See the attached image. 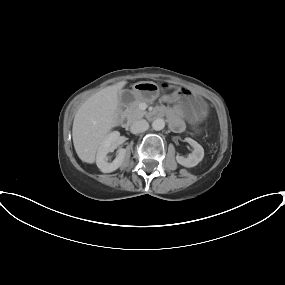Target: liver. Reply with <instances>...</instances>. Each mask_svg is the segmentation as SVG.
<instances>
[{"mask_svg":"<svg viewBox=\"0 0 285 285\" xmlns=\"http://www.w3.org/2000/svg\"><path fill=\"white\" fill-rule=\"evenodd\" d=\"M126 81L108 86L88 98L78 109L72 128V137L78 157L86 163H94L99 146L117 125L119 95Z\"/></svg>","mask_w":285,"mask_h":285,"instance_id":"obj_1","label":"liver"}]
</instances>
